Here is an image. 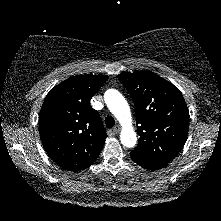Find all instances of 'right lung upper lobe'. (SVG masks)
Segmentation results:
<instances>
[{
	"instance_id": "right-lung-upper-lobe-1",
	"label": "right lung upper lobe",
	"mask_w": 221,
	"mask_h": 221,
	"mask_svg": "<svg viewBox=\"0 0 221 221\" xmlns=\"http://www.w3.org/2000/svg\"><path fill=\"white\" fill-rule=\"evenodd\" d=\"M106 75L74 76L53 87L39 116L40 137L46 152L65 170L80 171L100 154L106 130L90 105Z\"/></svg>"
}]
</instances>
